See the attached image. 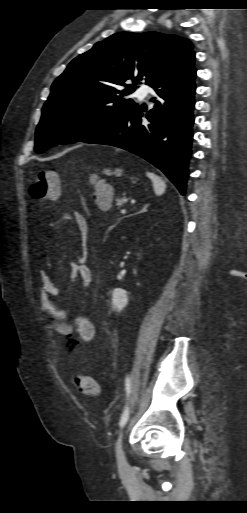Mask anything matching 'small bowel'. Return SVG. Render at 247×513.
Wrapping results in <instances>:
<instances>
[{"label": "small bowel", "instance_id": "1", "mask_svg": "<svg viewBox=\"0 0 247 513\" xmlns=\"http://www.w3.org/2000/svg\"><path fill=\"white\" fill-rule=\"evenodd\" d=\"M63 221H72L85 244L89 234V226L85 217L78 213L64 215L59 220L53 222L52 226H57ZM85 253V250H83ZM71 274L74 278L79 280L81 287L86 290L92 280V274L89 267L85 264L84 256L70 263ZM40 283L38 300L43 311H45L52 320V326L55 331L65 338L68 342L76 345L77 350L84 349L87 345L93 342L96 335V329L90 319L77 311L73 316V325L66 322L69 314L68 311L60 307L54 300L61 294V286L44 270H39L37 273Z\"/></svg>", "mask_w": 247, "mask_h": 513}]
</instances>
